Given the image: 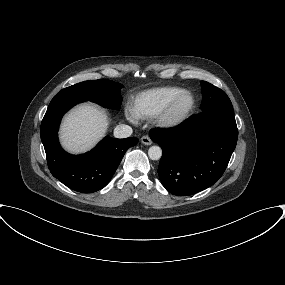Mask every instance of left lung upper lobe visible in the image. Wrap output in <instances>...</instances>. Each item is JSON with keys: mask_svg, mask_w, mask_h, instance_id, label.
Here are the masks:
<instances>
[{"mask_svg": "<svg viewBox=\"0 0 285 285\" xmlns=\"http://www.w3.org/2000/svg\"><path fill=\"white\" fill-rule=\"evenodd\" d=\"M201 92L203 94L200 106L202 111L212 108H222L233 111L229 97L218 87L206 81H201Z\"/></svg>", "mask_w": 285, "mask_h": 285, "instance_id": "5c2ea615", "label": "left lung upper lobe"}]
</instances>
